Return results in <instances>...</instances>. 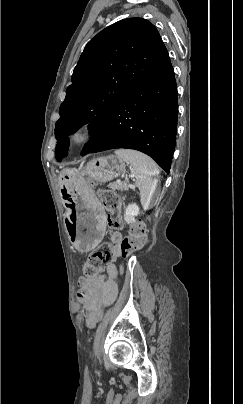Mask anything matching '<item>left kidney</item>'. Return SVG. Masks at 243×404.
<instances>
[{
    "label": "left kidney",
    "mask_w": 243,
    "mask_h": 404,
    "mask_svg": "<svg viewBox=\"0 0 243 404\" xmlns=\"http://www.w3.org/2000/svg\"><path fill=\"white\" fill-rule=\"evenodd\" d=\"M138 214L139 206H137V204H128L124 214L125 222H127V224H134L135 216H138Z\"/></svg>",
    "instance_id": "obj_1"
}]
</instances>
